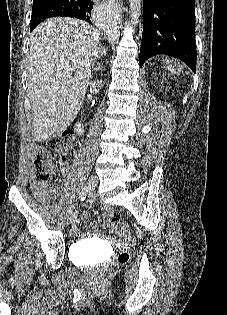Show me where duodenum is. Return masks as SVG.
I'll list each match as a JSON object with an SVG mask.
<instances>
[{
    "instance_id": "obj_1",
    "label": "duodenum",
    "mask_w": 227,
    "mask_h": 315,
    "mask_svg": "<svg viewBox=\"0 0 227 315\" xmlns=\"http://www.w3.org/2000/svg\"><path fill=\"white\" fill-rule=\"evenodd\" d=\"M78 129H79V131H81V130H82V128H81V126H80V125H79V128H78Z\"/></svg>"
}]
</instances>
